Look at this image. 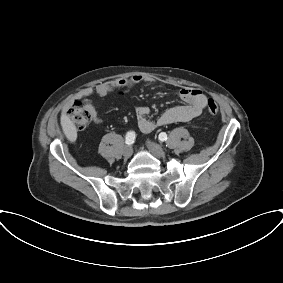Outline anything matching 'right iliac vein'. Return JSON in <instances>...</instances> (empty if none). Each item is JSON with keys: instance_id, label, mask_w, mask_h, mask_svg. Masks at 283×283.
I'll return each mask as SVG.
<instances>
[{"instance_id": "obj_1", "label": "right iliac vein", "mask_w": 283, "mask_h": 283, "mask_svg": "<svg viewBox=\"0 0 283 283\" xmlns=\"http://www.w3.org/2000/svg\"><path fill=\"white\" fill-rule=\"evenodd\" d=\"M132 155V148L130 146H125L123 148V156L129 158Z\"/></svg>"}]
</instances>
